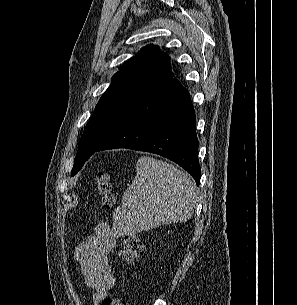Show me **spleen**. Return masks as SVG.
I'll return each mask as SVG.
<instances>
[{"label": "spleen", "mask_w": 297, "mask_h": 305, "mask_svg": "<svg viewBox=\"0 0 297 305\" xmlns=\"http://www.w3.org/2000/svg\"><path fill=\"white\" fill-rule=\"evenodd\" d=\"M197 200L196 187L183 171L167 162L143 156L136 176L113 213L119 235L136 234L160 225L186 222Z\"/></svg>", "instance_id": "obj_1"}]
</instances>
